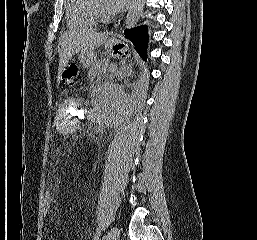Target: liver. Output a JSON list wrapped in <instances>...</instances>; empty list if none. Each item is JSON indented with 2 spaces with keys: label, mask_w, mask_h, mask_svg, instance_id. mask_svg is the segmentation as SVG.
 I'll use <instances>...</instances> for the list:
<instances>
[{
  "label": "liver",
  "mask_w": 257,
  "mask_h": 240,
  "mask_svg": "<svg viewBox=\"0 0 257 240\" xmlns=\"http://www.w3.org/2000/svg\"><path fill=\"white\" fill-rule=\"evenodd\" d=\"M108 33H99L93 29H80L66 32L59 39V67L60 76L69 60L79 52H92L100 47L107 39Z\"/></svg>",
  "instance_id": "obj_1"
}]
</instances>
